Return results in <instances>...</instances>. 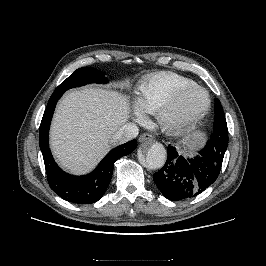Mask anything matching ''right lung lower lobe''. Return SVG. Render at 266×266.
<instances>
[{
	"label": "right lung lower lobe",
	"mask_w": 266,
	"mask_h": 266,
	"mask_svg": "<svg viewBox=\"0 0 266 266\" xmlns=\"http://www.w3.org/2000/svg\"><path fill=\"white\" fill-rule=\"evenodd\" d=\"M64 92L63 90L54 91L40 125L39 143L47 179L51 189L64 200L76 204H91L104 195L112 178L115 161L130 154L137 147V141L131 140L111 150L98 167L88 175L73 176L62 171L51 155L48 134L56 103Z\"/></svg>",
	"instance_id": "1"
}]
</instances>
